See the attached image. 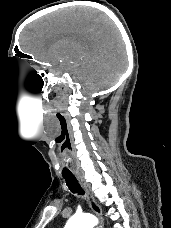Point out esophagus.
I'll list each match as a JSON object with an SVG mask.
<instances>
[{"instance_id":"esophagus-1","label":"esophagus","mask_w":171,"mask_h":228,"mask_svg":"<svg viewBox=\"0 0 171 228\" xmlns=\"http://www.w3.org/2000/svg\"><path fill=\"white\" fill-rule=\"evenodd\" d=\"M79 184L81 185L82 189L84 190L89 206L92 209V211L94 212V214L100 218L102 216L103 210L102 207L97 203V201L95 200L93 194L90 192L87 184L85 183V181L83 180V178L80 175L76 176ZM97 228H103L102 223H100Z\"/></svg>"}]
</instances>
